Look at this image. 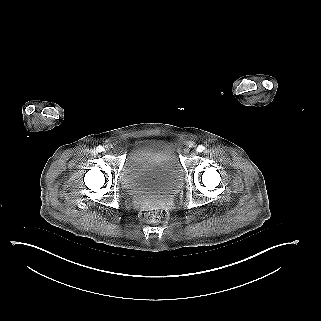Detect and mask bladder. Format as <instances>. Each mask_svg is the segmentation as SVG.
<instances>
[{
  "label": "bladder",
  "instance_id": "obj_1",
  "mask_svg": "<svg viewBox=\"0 0 321 321\" xmlns=\"http://www.w3.org/2000/svg\"><path fill=\"white\" fill-rule=\"evenodd\" d=\"M183 179L174 144L152 138L131 145L119 177L122 190L135 200L169 197L180 190Z\"/></svg>",
  "mask_w": 321,
  "mask_h": 321
}]
</instances>
